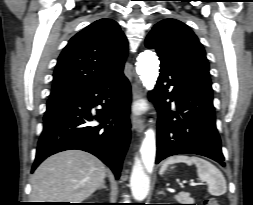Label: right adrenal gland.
Listing matches in <instances>:
<instances>
[{"mask_svg": "<svg viewBox=\"0 0 253 205\" xmlns=\"http://www.w3.org/2000/svg\"><path fill=\"white\" fill-rule=\"evenodd\" d=\"M102 188L106 189V185H105V181L101 184V186L98 188L99 190H101Z\"/></svg>", "mask_w": 253, "mask_h": 205, "instance_id": "2a0ac1e0", "label": "right adrenal gland"}]
</instances>
